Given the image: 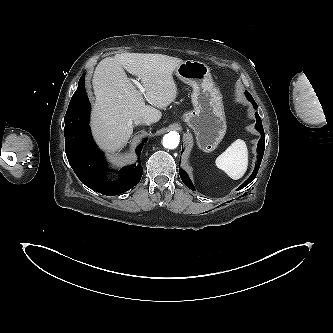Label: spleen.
I'll return each instance as SVG.
<instances>
[{
	"label": "spleen",
	"mask_w": 333,
	"mask_h": 333,
	"mask_svg": "<svg viewBox=\"0 0 333 333\" xmlns=\"http://www.w3.org/2000/svg\"><path fill=\"white\" fill-rule=\"evenodd\" d=\"M216 166L223 170L230 178L240 179L248 166V150L246 143L237 139L215 160Z\"/></svg>",
	"instance_id": "1"
}]
</instances>
